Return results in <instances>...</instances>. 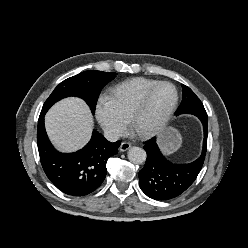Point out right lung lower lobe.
Listing matches in <instances>:
<instances>
[{"label": "right lung lower lobe", "mask_w": 248, "mask_h": 248, "mask_svg": "<svg viewBox=\"0 0 248 248\" xmlns=\"http://www.w3.org/2000/svg\"><path fill=\"white\" fill-rule=\"evenodd\" d=\"M45 114L41 111L37 128L38 151L45 174L65 194L85 196L92 193L105 179L107 160L117 154L120 142L111 143L93 131L91 140L83 149L70 154L60 153L46 134Z\"/></svg>", "instance_id": "1"}]
</instances>
